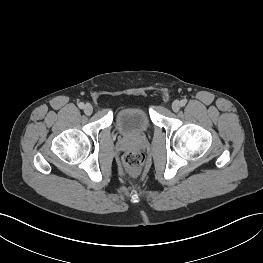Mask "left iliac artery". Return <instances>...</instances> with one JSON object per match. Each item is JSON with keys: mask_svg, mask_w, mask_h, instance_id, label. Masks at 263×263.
I'll return each mask as SVG.
<instances>
[{"mask_svg": "<svg viewBox=\"0 0 263 263\" xmlns=\"http://www.w3.org/2000/svg\"><path fill=\"white\" fill-rule=\"evenodd\" d=\"M186 103H187V100H186V99H183V100L180 101L181 106H185Z\"/></svg>", "mask_w": 263, "mask_h": 263, "instance_id": "left-iliac-artery-1", "label": "left iliac artery"}]
</instances>
